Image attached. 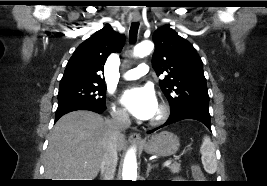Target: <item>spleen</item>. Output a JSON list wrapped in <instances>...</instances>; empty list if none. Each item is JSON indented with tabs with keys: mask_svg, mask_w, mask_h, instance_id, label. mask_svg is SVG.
I'll return each instance as SVG.
<instances>
[{
	"mask_svg": "<svg viewBox=\"0 0 267 186\" xmlns=\"http://www.w3.org/2000/svg\"><path fill=\"white\" fill-rule=\"evenodd\" d=\"M200 153L202 155V164L204 169L208 173H214L217 168V162L215 157V147L208 136H205L200 147Z\"/></svg>",
	"mask_w": 267,
	"mask_h": 186,
	"instance_id": "obj_1",
	"label": "spleen"
}]
</instances>
